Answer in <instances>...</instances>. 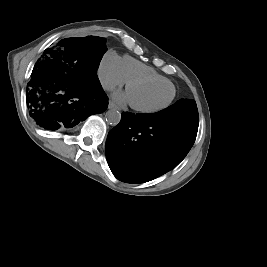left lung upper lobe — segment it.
<instances>
[{"instance_id": "5c2ea615", "label": "left lung upper lobe", "mask_w": 267, "mask_h": 267, "mask_svg": "<svg viewBox=\"0 0 267 267\" xmlns=\"http://www.w3.org/2000/svg\"><path fill=\"white\" fill-rule=\"evenodd\" d=\"M160 112H179L198 116L196 102L188 99H181Z\"/></svg>"}]
</instances>
